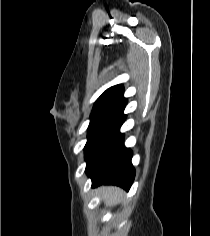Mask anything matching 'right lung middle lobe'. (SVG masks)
Returning a JSON list of instances; mask_svg holds the SVG:
<instances>
[{"label": "right lung middle lobe", "mask_w": 210, "mask_h": 236, "mask_svg": "<svg viewBox=\"0 0 210 236\" xmlns=\"http://www.w3.org/2000/svg\"><path fill=\"white\" fill-rule=\"evenodd\" d=\"M126 102L127 100L123 98V93L110 101H97L91 114V122L88 127V137Z\"/></svg>", "instance_id": "right-lung-middle-lobe-1"}]
</instances>
